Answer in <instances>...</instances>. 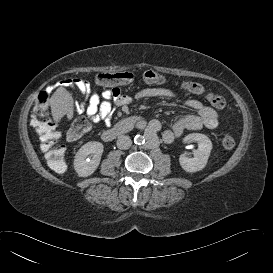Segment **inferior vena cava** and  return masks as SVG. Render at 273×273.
<instances>
[{"instance_id": "inferior-vena-cava-1", "label": "inferior vena cava", "mask_w": 273, "mask_h": 273, "mask_svg": "<svg viewBox=\"0 0 273 273\" xmlns=\"http://www.w3.org/2000/svg\"><path fill=\"white\" fill-rule=\"evenodd\" d=\"M132 145V141L129 136L121 135L117 139V147L122 150H126L130 148Z\"/></svg>"}]
</instances>
